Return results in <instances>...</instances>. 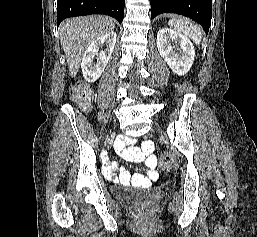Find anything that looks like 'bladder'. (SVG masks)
Returning <instances> with one entry per match:
<instances>
[{"instance_id": "bladder-1", "label": "bladder", "mask_w": 257, "mask_h": 237, "mask_svg": "<svg viewBox=\"0 0 257 237\" xmlns=\"http://www.w3.org/2000/svg\"><path fill=\"white\" fill-rule=\"evenodd\" d=\"M143 197L140 196V194H135V193H128L126 194L123 199H125L127 202H135L137 200L142 199ZM148 200L152 199L151 196L147 197Z\"/></svg>"}]
</instances>
